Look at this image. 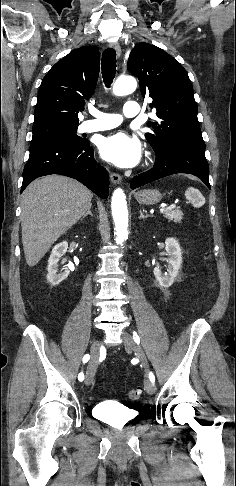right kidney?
Returning a JSON list of instances; mask_svg holds the SVG:
<instances>
[{
    "mask_svg": "<svg viewBox=\"0 0 236 486\" xmlns=\"http://www.w3.org/2000/svg\"><path fill=\"white\" fill-rule=\"evenodd\" d=\"M67 249H68V243L66 241L57 244L52 249L51 255L48 260V266H47V270H48L47 281L52 286L59 285L69 275L68 270L61 273H57L59 259L67 252Z\"/></svg>",
    "mask_w": 236,
    "mask_h": 486,
    "instance_id": "obj_1",
    "label": "right kidney"
}]
</instances>
